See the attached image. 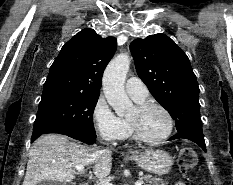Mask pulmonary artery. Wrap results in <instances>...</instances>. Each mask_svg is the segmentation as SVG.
<instances>
[{
  "mask_svg": "<svg viewBox=\"0 0 233 185\" xmlns=\"http://www.w3.org/2000/svg\"><path fill=\"white\" fill-rule=\"evenodd\" d=\"M127 93L134 100H144L148 95V89L138 77H129L125 83Z\"/></svg>",
  "mask_w": 233,
  "mask_h": 185,
  "instance_id": "obj_1",
  "label": "pulmonary artery"
}]
</instances>
